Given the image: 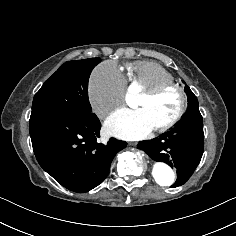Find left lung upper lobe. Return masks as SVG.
<instances>
[{
    "instance_id": "5c2ea615",
    "label": "left lung upper lobe",
    "mask_w": 236,
    "mask_h": 236,
    "mask_svg": "<svg viewBox=\"0 0 236 236\" xmlns=\"http://www.w3.org/2000/svg\"><path fill=\"white\" fill-rule=\"evenodd\" d=\"M185 92L188 96V109L182 120H202L201 113L199 111V105L197 97L193 94L190 88L186 85Z\"/></svg>"
}]
</instances>
